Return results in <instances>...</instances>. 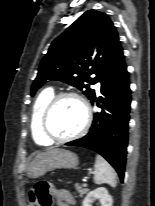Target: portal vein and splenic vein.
<instances>
[{"mask_svg":"<svg viewBox=\"0 0 155 206\" xmlns=\"http://www.w3.org/2000/svg\"><path fill=\"white\" fill-rule=\"evenodd\" d=\"M83 186H84V187H86V186H87V184H86V183H84V184H83Z\"/></svg>","mask_w":155,"mask_h":206,"instance_id":"obj_1","label":"portal vein and splenic vein"}]
</instances>
